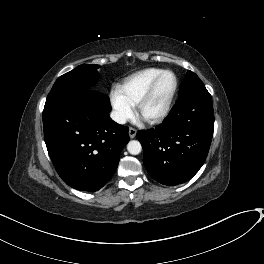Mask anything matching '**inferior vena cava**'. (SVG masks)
I'll return each mask as SVG.
<instances>
[{"label":"inferior vena cava","mask_w":264,"mask_h":264,"mask_svg":"<svg viewBox=\"0 0 264 264\" xmlns=\"http://www.w3.org/2000/svg\"><path fill=\"white\" fill-rule=\"evenodd\" d=\"M110 117L119 124H125L127 121L126 117L118 111H112Z\"/></svg>","instance_id":"1"}]
</instances>
